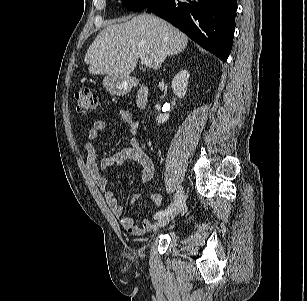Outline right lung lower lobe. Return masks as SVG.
<instances>
[{
    "mask_svg": "<svg viewBox=\"0 0 307 301\" xmlns=\"http://www.w3.org/2000/svg\"><path fill=\"white\" fill-rule=\"evenodd\" d=\"M236 0H158L147 9L225 62L230 55Z\"/></svg>",
    "mask_w": 307,
    "mask_h": 301,
    "instance_id": "1",
    "label": "right lung lower lobe"
}]
</instances>
